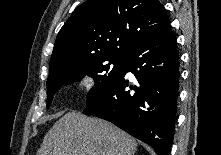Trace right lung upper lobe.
Instances as JSON below:
<instances>
[{
    "label": "right lung upper lobe",
    "instance_id": "obj_1",
    "mask_svg": "<svg viewBox=\"0 0 221 155\" xmlns=\"http://www.w3.org/2000/svg\"><path fill=\"white\" fill-rule=\"evenodd\" d=\"M169 26L158 0H87L59 31L49 74L78 61L127 57L141 39Z\"/></svg>",
    "mask_w": 221,
    "mask_h": 155
}]
</instances>
